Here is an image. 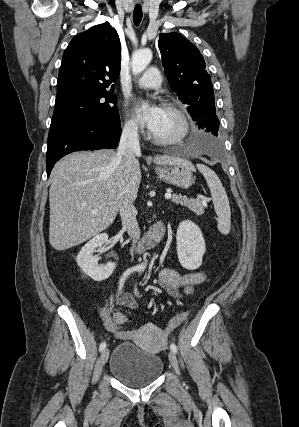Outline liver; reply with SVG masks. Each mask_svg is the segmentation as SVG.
Masks as SVG:
<instances>
[{"label": "liver", "instance_id": "obj_1", "mask_svg": "<svg viewBox=\"0 0 299 427\" xmlns=\"http://www.w3.org/2000/svg\"><path fill=\"white\" fill-rule=\"evenodd\" d=\"M155 164L195 170L188 160L156 156ZM49 189V242L66 250L96 236L115 220L122 199H136L141 182L137 159L131 169L114 150L73 152L59 160ZM96 212V213H95Z\"/></svg>", "mask_w": 299, "mask_h": 427}]
</instances>
